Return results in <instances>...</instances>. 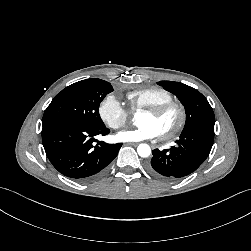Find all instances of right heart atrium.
Segmentation results:
<instances>
[{"label": "right heart atrium", "instance_id": "d8ad5b80", "mask_svg": "<svg viewBox=\"0 0 251 251\" xmlns=\"http://www.w3.org/2000/svg\"><path fill=\"white\" fill-rule=\"evenodd\" d=\"M98 113L101 120L112 129H119L127 123L129 111L123 106L120 100L110 94L100 103Z\"/></svg>", "mask_w": 251, "mask_h": 251}]
</instances>
